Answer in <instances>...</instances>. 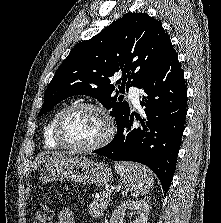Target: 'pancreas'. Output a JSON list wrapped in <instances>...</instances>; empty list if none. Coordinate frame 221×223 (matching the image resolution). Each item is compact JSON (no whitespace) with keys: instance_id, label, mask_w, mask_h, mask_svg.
Returning <instances> with one entry per match:
<instances>
[{"instance_id":"cf45deb5","label":"pancreas","mask_w":221,"mask_h":223,"mask_svg":"<svg viewBox=\"0 0 221 223\" xmlns=\"http://www.w3.org/2000/svg\"><path fill=\"white\" fill-rule=\"evenodd\" d=\"M111 201L110 194L105 193L99 199H95L89 205V214L94 218H100L103 216L104 211L108 207L109 202Z\"/></svg>"}]
</instances>
